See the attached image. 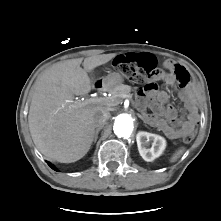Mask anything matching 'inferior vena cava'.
<instances>
[{"instance_id":"inferior-vena-cava-1","label":"inferior vena cava","mask_w":221,"mask_h":221,"mask_svg":"<svg viewBox=\"0 0 221 221\" xmlns=\"http://www.w3.org/2000/svg\"><path fill=\"white\" fill-rule=\"evenodd\" d=\"M110 118V113L108 111H102L98 114L95 115L94 121H95V126L98 127H103L106 122Z\"/></svg>"}]
</instances>
